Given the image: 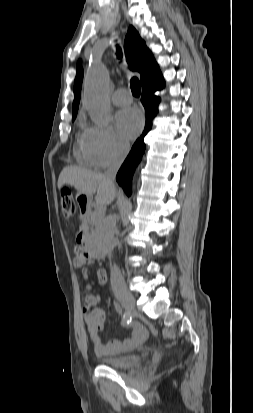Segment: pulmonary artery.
Listing matches in <instances>:
<instances>
[{"instance_id": "pulmonary-artery-1", "label": "pulmonary artery", "mask_w": 253, "mask_h": 413, "mask_svg": "<svg viewBox=\"0 0 253 413\" xmlns=\"http://www.w3.org/2000/svg\"><path fill=\"white\" fill-rule=\"evenodd\" d=\"M112 102L117 106H125L132 102V96L126 89H118L112 94Z\"/></svg>"}]
</instances>
